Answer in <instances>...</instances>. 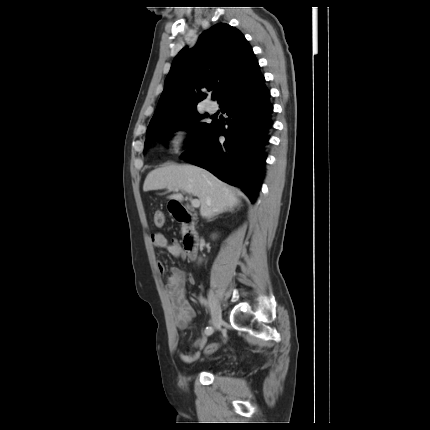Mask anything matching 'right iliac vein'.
Here are the masks:
<instances>
[{
    "mask_svg": "<svg viewBox=\"0 0 430 430\" xmlns=\"http://www.w3.org/2000/svg\"><path fill=\"white\" fill-rule=\"evenodd\" d=\"M208 297H209V305L211 308V323L215 329H220L221 323H222V317L214 306V297L211 292H209Z\"/></svg>",
    "mask_w": 430,
    "mask_h": 430,
    "instance_id": "63e3f726",
    "label": "right iliac vein"
}]
</instances>
